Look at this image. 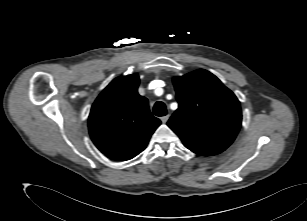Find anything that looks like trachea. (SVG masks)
I'll return each instance as SVG.
<instances>
[{
  "label": "trachea",
  "instance_id": "trachea-1",
  "mask_svg": "<svg viewBox=\"0 0 307 221\" xmlns=\"http://www.w3.org/2000/svg\"><path fill=\"white\" fill-rule=\"evenodd\" d=\"M153 113L159 117L165 116L167 114V109H166L165 104L161 101L156 102L153 107Z\"/></svg>",
  "mask_w": 307,
  "mask_h": 221
}]
</instances>
